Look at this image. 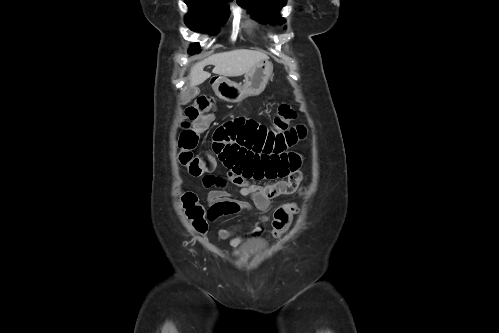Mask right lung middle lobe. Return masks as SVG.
<instances>
[{"label": "right lung middle lobe", "instance_id": "1", "mask_svg": "<svg viewBox=\"0 0 499 333\" xmlns=\"http://www.w3.org/2000/svg\"><path fill=\"white\" fill-rule=\"evenodd\" d=\"M229 2V1H228ZM190 8V13L186 16L187 26L196 32L209 31L213 35L220 31V26L224 24L228 17L229 7L227 2L214 0H185ZM189 52L199 53L197 44L192 45Z\"/></svg>", "mask_w": 499, "mask_h": 333}]
</instances>
